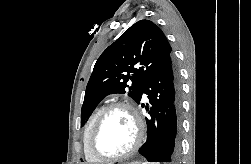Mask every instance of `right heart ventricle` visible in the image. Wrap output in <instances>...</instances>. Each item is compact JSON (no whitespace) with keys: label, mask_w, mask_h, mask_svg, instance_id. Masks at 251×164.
Here are the masks:
<instances>
[{"label":"right heart ventricle","mask_w":251,"mask_h":164,"mask_svg":"<svg viewBox=\"0 0 251 164\" xmlns=\"http://www.w3.org/2000/svg\"><path fill=\"white\" fill-rule=\"evenodd\" d=\"M104 109L103 106H99L97 107L92 114L89 116L85 126H84V131H83V144H84V154H85V158L86 160L91 163V164H95L98 163L99 161L97 159H95L89 152L88 149V141H89V136H90V132L91 129L97 119V117L99 116V114L102 112V110Z\"/></svg>","instance_id":"1"}]
</instances>
